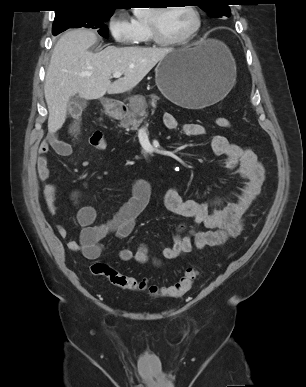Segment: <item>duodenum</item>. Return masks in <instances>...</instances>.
<instances>
[{"label":"duodenum","mask_w":306,"mask_h":387,"mask_svg":"<svg viewBox=\"0 0 306 387\" xmlns=\"http://www.w3.org/2000/svg\"><path fill=\"white\" fill-rule=\"evenodd\" d=\"M111 117L114 119H121L125 116L126 110L122 107L112 106L109 108Z\"/></svg>","instance_id":"obj_1"}]
</instances>
